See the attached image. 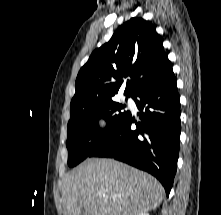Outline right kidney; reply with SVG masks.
<instances>
[{
    "instance_id": "ca27d5eb",
    "label": "right kidney",
    "mask_w": 221,
    "mask_h": 215,
    "mask_svg": "<svg viewBox=\"0 0 221 215\" xmlns=\"http://www.w3.org/2000/svg\"><path fill=\"white\" fill-rule=\"evenodd\" d=\"M138 215H149V214L145 213V212H142V213H139Z\"/></svg>"
}]
</instances>
